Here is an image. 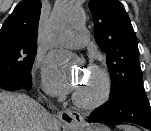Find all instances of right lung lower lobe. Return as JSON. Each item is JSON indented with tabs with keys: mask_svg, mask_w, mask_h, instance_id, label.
Here are the masks:
<instances>
[{
	"mask_svg": "<svg viewBox=\"0 0 151 131\" xmlns=\"http://www.w3.org/2000/svg\"><path fill=\"white\" fill-rule=\"evenodd\" d=\"M31 87H32V81H31V78H30L28 81H25L23 83L22 89L29 90V89H31Z\"/></svg>",
	"mask_w": 151,
	"mask_h": 131,
	"instance_id": "1",
	"label": "right lung lower lobe"
}]
</instances>
